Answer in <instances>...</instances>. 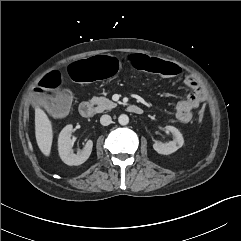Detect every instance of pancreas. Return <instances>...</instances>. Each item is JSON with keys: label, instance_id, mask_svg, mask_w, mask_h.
<instances>
[{"label": "pancreas", "instance_id": "obj_1", "mask_svg": "<svg viewBox=\"0 0 241 241\" xmlns=\"http://www.w3.org/2000/svg\"><path fill=\"white\" fill-rule=\"evenodd\" d=\"M90 102L93 105H97L96 111L98 113H101L104 110H111L112 108H115L117 106L116 103L112 102L111 100H109L105 97H93L90 100Z\"/></svg>", "mask_w": 241, "mask_h": 241}]
</instances>
